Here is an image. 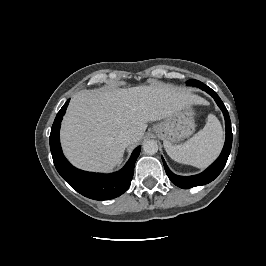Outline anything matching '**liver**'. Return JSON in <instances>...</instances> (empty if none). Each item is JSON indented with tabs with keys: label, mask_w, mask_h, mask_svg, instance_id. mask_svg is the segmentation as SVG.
Returning <instances> with one entry per match:
<instances>
[{
	"label": "liver",
	"mask_w": 266,
	"mask_h": 266,
	"mask_svg": "<svg viewBox=\"0 0 266 266\" xmlns=\"http://www.w3.org/2000/svg\"><path fill=\"white\" fill-rule=\"evenodd\" d=\"M200 103L201 98L189 90L167 84L82 90L72 97L62 123L64 153L81 169L112 170L128 146L121 141V133H130V144H137L148 122Z\"/></svg>",
	"instance_id": "6515ba94"
}]
</instances>
